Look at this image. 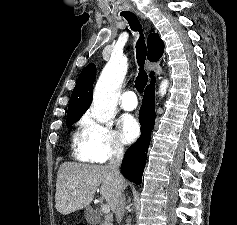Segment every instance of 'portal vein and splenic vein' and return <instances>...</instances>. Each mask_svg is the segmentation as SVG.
I'll use <instances>...</instances> for the list:
<instances>
[{"mask_svg": "<svg viewBox=\"0 0 237 225\" xmlns=\"http://www.w3.org/2000/svg\"><path fill=\"white\" fill-rule=\"evenodd\" d=\"M101 210L103 213L108 214L110 213V207L107 204H102L101 205Z\"/></svg>", "mask_w": 237, "mask_h": 225, "instance_id": "portal-vein-and-splenic-vein-1", "label": "portal vein and splenic vein"}]
</instances>
